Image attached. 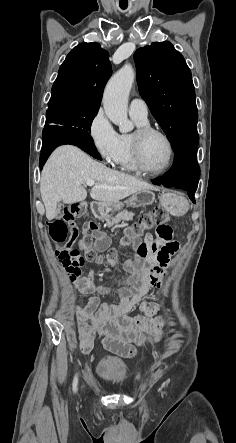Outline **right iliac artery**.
<instances>
[{"label":"right iliac artery","instance_id":"1","mask_svg":"<svg viewBox=\"0 0 236 443\" xmlns=\"http://www.w3.org/2000/svg\"><path fill=\"white\" fill-rule=\"evenodd\" d=\"M77 382H78V379H77V376H75L74 381H73V390H74V391H76V388H77Z\"/></svg>","mask_w":236,"mask_h":443}]
</instances>
